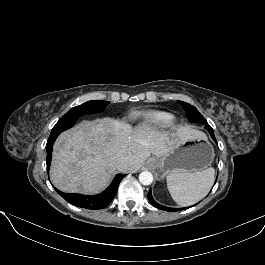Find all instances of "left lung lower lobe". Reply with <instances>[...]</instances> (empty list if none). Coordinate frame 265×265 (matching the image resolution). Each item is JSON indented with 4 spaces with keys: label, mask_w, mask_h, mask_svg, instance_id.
<instances>
[{
    "label": "left lung lower lobe",
    "mask_w": 265,
    "mask_h": 265,
    "mask_svg": "<svg viewBox=\"0 0 265 265\" xmlns=\"http://www.w3.org/2000/svg\"><path fill=\"white\" fill-rule=\"evenodd\" d=\"M203 124H205L204 128L206 130H208V132L210 133L212 139L217 143L216 138L214 136L213 129L210 127V125L207 122H205ZM148 199L152 203V205H154L158 209H162V210L169 211V212H176V211L182 210V208H169V207H165V206L159 205L157 202L154 201V199H153V197L151 195V190L148 193Z\"/></svg>",
    "instance_id": "0a47b994"
}]
</instances>
